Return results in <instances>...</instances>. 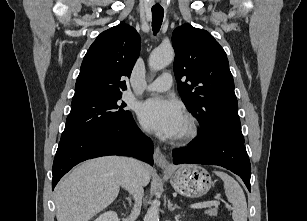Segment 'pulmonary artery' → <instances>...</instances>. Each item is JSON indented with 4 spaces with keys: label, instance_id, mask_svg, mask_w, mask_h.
<instances>
[{
    "label": "pulmonary artery",
    "instance_id": "e3ab8cb5",
    "mask_svg": "<svg viewBox=\"0 0 307 221\" xmlns=\"http://www.w3.org/2000/svg\"><path fill=\"white\" fill-rule=\"evenodd\" d=\"M172 76L169 73H165L157 78L152 83L148 84L145 88L147 92H164L171 88Z\"/></svg>",
    "mask_w": 307,
    "mask_h": 221
}]
</instances>
